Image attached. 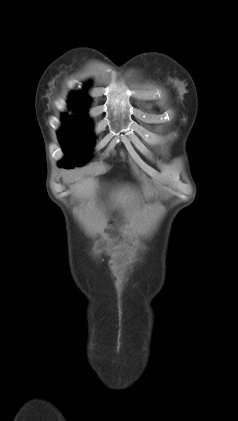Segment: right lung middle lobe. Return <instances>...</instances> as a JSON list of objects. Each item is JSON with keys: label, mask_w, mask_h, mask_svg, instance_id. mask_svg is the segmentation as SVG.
Here are the masks:
<instances>
[{"label": "right lung middle lobe", "mask_w": 238, "mask_h": 421, "mask_svg": "<svg viewBox=\"0 0 238 421\" xmlns=\"http://www.w3.org/2000/svg\"><path fill=\"white\" fill-rule=\"evenodd\" d=\"M70 106L79 113H83L87 109L86 104L70 103ZM62 122L64 130L60 131L58 135L66 157L61 162V166L72 168L88 158L92 148V132L90 124L80 118L63 115Z\"/></svg>", "instance_id": "obj_1"}]
</instances>
